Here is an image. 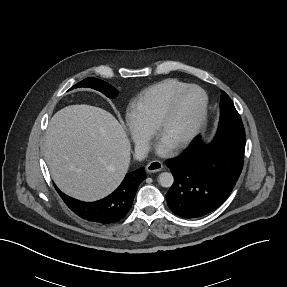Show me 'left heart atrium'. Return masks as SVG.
I'll list each match as a JSON object with an SVG mask.
<instances>
[{
	"label": "left heart atrium",
	"instance_id": "obj_1",
	"mask_svg": "<svg viewBox=\"0 0 287 287\" xmlns=\"http://www.w3.org/2000/svg\"><path fill=\"white\" fill-rule=\"evenodd\" d=\"M158 153H160V154H164V153H166L167 152V147L165 146V145H161V146H159V148H158Z\"/></svg>",
	"mask_w": 287,
	"mask_h": 287
}]
</instances>
